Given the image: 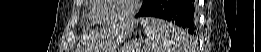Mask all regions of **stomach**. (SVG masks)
Segmentation results:
<instances>
[{
	"label": "stomach",
	"instance_id": "stomach-1",
	"mask_svg": "<svg viewBox=\"0 0 261 52\" xmlns=\"http://www.w3.org/2000/svg\"><path fill=\"white\" fill-rule=\"evenodd\" d=\"M130 52H135V50H134V49H132Z\"/></svg>",
	"mask_w": 261,
	"mask_h": 52
}]
</instances>
